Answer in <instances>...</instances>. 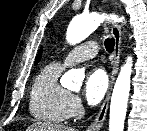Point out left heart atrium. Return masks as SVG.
<instances>
[{"mask_svg": "<svg viewBox=\"0 0 147 131\" xmlns=\"http://www.w3.org/2000/svg\"><path fill=\"white\" fill-rule=\"evenodd\" d=\"M108 87V78L101 68H93L87 73L84 82V96L89 105H97L104 97Z\"/></svg>", "mask_w": 147, "mask_h": 131, "instance_id": "39dd6f15", "label": "left heart atrium"}]
</instances>
